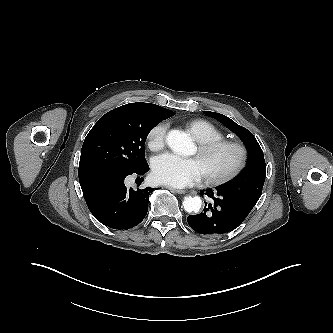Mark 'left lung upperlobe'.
Masks as SVG:
<instances>
[{"instance_id": "1", "label": "left lung upper lobe", "mask_w": 333, "mask_h": 333, "mask_svg": "<svg viewBox=\"0 0 333 333\" xmlns=\"http://www.w3.org/2000/svg\"><path fill=\"white\" fill-rule=\"evenodd\" d=\"M204 114L217 119L236 133L244 142L249 155L247 168L235 180L221 187L230 192L244 193L259 199L266 177V164L263 151L256 138L246 128L239 126L233 120L220 113L204 111Z\"/></svg>"}]
</instances>
